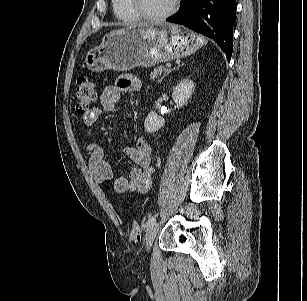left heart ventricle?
<instances>
[{"label":"left heart ventricle","instance_id":"b2bd125f","mask_svg":"<svg viewBox=\"0 0 307 301\" xmlns=\"http://www.w3.org/2000/svg\"><path fill=\"white\" fill-rule=\"evenodd\" d=\"M141 8L150 14H159L168 10L173 0H139Z\"/></svg>","mask_w":307,"mask_h":301}]
</instances>
